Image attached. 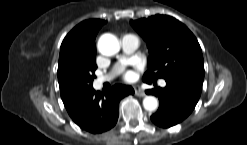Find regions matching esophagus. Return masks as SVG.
I'll return each mask as SVG.
<instances>
[{
	"instance_id": "esophagus-1",
	"label": "esophagus",
	"mask_w": 247,
	"mask_h": 145,
	"mask_svg": "<svg viewBox=\"0 0 247 145\" xmlns=\"http://www.w3.org/2000/svg\"><path fill=\"white\" fill-rule=\"evenodd\" d=\"M134 90H135V95L136 96H139V97L145 96V92L143 90H141V88L138 85H136L134 87Z\"/></svg>"
}]
</instances>
